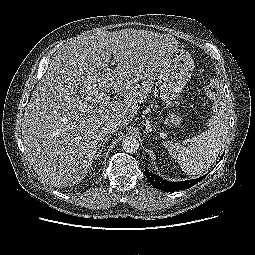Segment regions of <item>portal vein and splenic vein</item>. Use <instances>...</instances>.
<instances>
[{"instance_id":"18ae733b","label":"portal vein and splenic vein","mask_w":255,"mask_h":255,"mask_svg":"<svg viewBox=\"0 0 255 255\" xmlns=\"http://www.w3.org/2000/svg\"><path fill=\"white\" fill-rule=\"evenodd\" d=\"M110 96H105L103 99H102V101H101V105H106L109 101H110ZM84 106H88V104L86 103V104H84Z\"/></svg>"}]
</instances>
